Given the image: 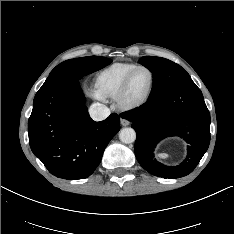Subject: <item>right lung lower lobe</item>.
I'll return each instance as SVG.
<instances>
[{
  "instance_id": "1",
  "label": "right lung lower lobe",
  "mask_w": 234,
  "mask_h": 234,
  "mask_svg": "<svg viewBox=\"0 0 234 234\" xmlns=\"http://www.w3.org/2000/svg\"><path fill=\"white\" fill-rule=\"evenodd\" d=\"M78 80L70 71L49 75L34 98L28 121L34 155L51 174L70 180L90 176L120 130L116 113L101 122L90 118Z\"/></svg>"
}]
</instances>
